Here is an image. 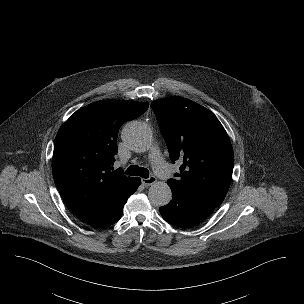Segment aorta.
Here are the masks:
<instances>
[{
    "label": "aorta",
    "mask_w": 304,
    "mask_h": 304,
    "mask_svg": "<svg viewBox=\"0 0 304 304\" xmlns=\"http://www.w3.org/2000/svg\"><path fill=\"white\" fill-rule=\"evenodd\" d=\"M122 139L130 149L144 152L151 145L152 132L144 123L130 122L122 130ZM148 198L156 206H165L172 199V191L167 183L156 182L150 186Z\"/></svg>",
    "instance_id": "1"
}]
</instances>
